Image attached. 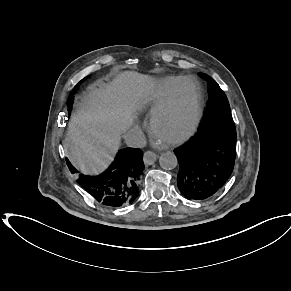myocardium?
<instances>
[{
    "label": "myocardium",
    "mask_w": 291,
    "mask_h": 291,
    "mask_svg": "<svg viewBox=\"0 0 291 291\" xmlns=\"http://www.w3.org/2000/svg\"><path fill=\"white\" fill-rule=\"evenodd\" d=\"M192 86V118L188 129L181 135L165 140L169 145H178L188 140L198 129L203 114V94L199 82L193 77L181 78L168 92L160 107L154 112L151 118V130L157 135V125L174 108L177 99L186 86Z\"/></svg>",
    "instance_id": "myocardium-1"
}]
</instances>
